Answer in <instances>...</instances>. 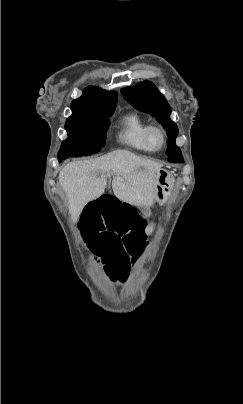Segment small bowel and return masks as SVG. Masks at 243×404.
I'll return each mask as SVG.
<instances>
[{
	"label": "small bowel",
	"mask_w": 243,
	"mask_h": 404,
	"mask_svg": "<svg viewBox=\"0 0 243 404\" xmlns=\"http://www.w3.org/2000/svg\"><path fill=\"white\" fill-rule=\"evenodd\" d=\"M146 221L132 205L113 192L89 202L80 223L84 241L113 276L124 280L145 251Z\"/></svg>",
	"instance_id": "obj_1"
}]
</instances>
